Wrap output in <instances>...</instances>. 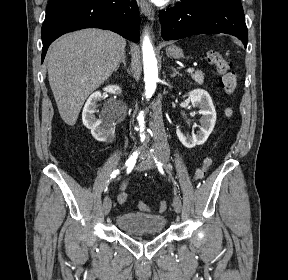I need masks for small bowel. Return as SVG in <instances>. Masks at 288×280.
Instances as JSON below:
<instances>
[{
    "instance_id": "1",
    "label": "small bowel",
    "mask_w": 288,
    "mask_h": 280,
    "mask_svg": "<svg viewBox=\"0 0 288 280\" xmlns=\"http://www.w3.org/2000/svg\"><path fill=\"white\" fill-rule=\"evenodd\" d=\"M130 183V180H125L121 183V185L118 188V198L122 195V194H126L125 190L128 187ZM121 204V202H119Z\"/></svg>"
}]
</instances>
